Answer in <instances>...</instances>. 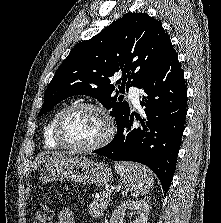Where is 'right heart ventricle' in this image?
<instances>
[{
    "label": "right heart ventricle",
    "instance_id": "right-heart-ventricle-1",
    "mask_svg": "<svg viewBox=\"0 0 221 223\" xmlns=\"http://www.w3.org/2000/svg\"><path fill=\"white\" fill-rule=\"evenodd\" d=\"M61 111L62 109H58L53 114V116L51 117V119L48 121L47 125L44 128L43 138H44V145L46 147H53V148L60 147V145L54 140L53 130H54L57 117Z\"/></svg>",
    "mask_w": 221,
    "mask_h": 223
}]
</instances>
